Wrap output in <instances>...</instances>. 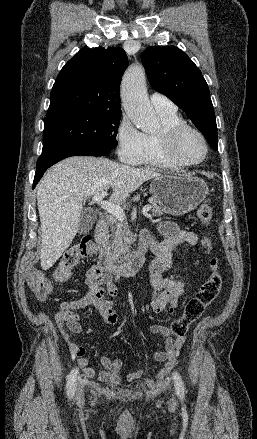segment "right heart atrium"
Segmentation results:
<instances>
[{
	"label": "right heart atrium",
	"mask_w": 257,
	"mask_h": 439,
	"mask_svg": "<svg viewBox=\"0 0 257 439\" xmlns=\"http://www.w3.org/2000/svg\"><path fill=\"white\" fill-rule=\"evenodd\" d=\"M117 153L121 161L134 163L144 149L143 134L123 115L116 131Z\"/></svg>",
	"instance_id": "d8ad5b80"
}]
</instances>
